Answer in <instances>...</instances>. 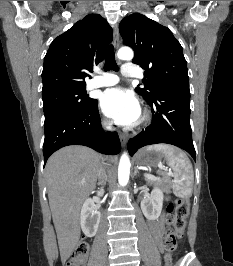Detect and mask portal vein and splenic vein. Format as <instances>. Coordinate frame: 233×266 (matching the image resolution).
<instances>
[{"label": "portal vein and splenic vein", "instance_id": "portal-vein-and-splenic-vein-1", "mask_svg": "<svg viewBox=\"0 0 233 266\" xmlns=\"http://www.w3.org/2000/svg\"><path fill=\"white\" fill-rule=\"evenodd\" d=\"M171 171L169 170V175H171ZM144 176L150 180H153V181H159L160 178L159 177H156L154 175H151V174H144Z\"/></svg>", "mask_w": 233, "mask_h": 266}]
</instances>
